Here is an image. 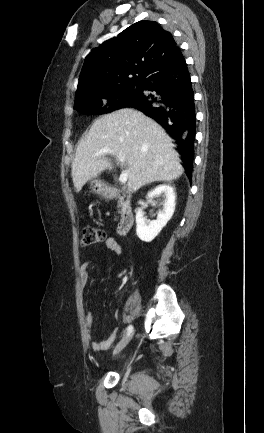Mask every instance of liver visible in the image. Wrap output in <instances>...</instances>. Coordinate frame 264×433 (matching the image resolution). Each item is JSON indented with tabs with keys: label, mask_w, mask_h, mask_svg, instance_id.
I'll return each instance as SVG.
<instances>
[{
	"label": "liver",
	"mask_w": 264,
	"mask_h": 433,
	"mask_svg": "<svg viewBox=\"0 0 264 433\" xmlns=\"http://www.w3.org/2000/svg\"><path fill=\"white\" fill-rule=\"evenodd\" d=\"M102 148L125 156L131 192L152 182H170L184 172L172 140L162 127L143 113L124 108L95 120L79 142L71 171L76 192L103 171L112 170L109 158L95 157Z\"/></svg>",
	"instance_id": "6515ba94"
}]
</instances>
